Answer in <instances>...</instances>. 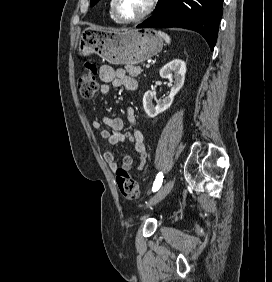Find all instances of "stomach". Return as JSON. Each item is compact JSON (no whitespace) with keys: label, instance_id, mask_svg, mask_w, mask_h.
<instances>
[{"label":"stomach","instance_id":"stomach-1","mask_svg":"<svg viewBox=\"0 0 272 282\" xmlns=\"http://www.w3.org/2000/svg\"><path fill=\"white\" fill-rule=\"evenodd\" d=\"M162 47V38L151 29L87 28L77 50L80 56L95 53L114 65H135L156 55Z\"/></svg>","mask_w":272,"mask_h":282}]
</instances>
